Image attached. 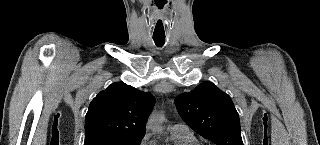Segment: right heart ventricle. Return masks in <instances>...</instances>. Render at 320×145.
Segmentation results:
<instances>
[{
    "label": "right heart ventricle",
    "mask_w": 320,
    "mask_h": 145,
    "mask_svg": "<svg viewBox=\"0 0 320 145\" xmlns=\"http://www.w3.org/2000/svg\"><path fill=\"white\" fill-rule=\"evenodd\" d=\"M170 140L173 145H199V141L192 132L170 133Z\"/></svg>",
    "instance_id": "1"
}]
</instances>
